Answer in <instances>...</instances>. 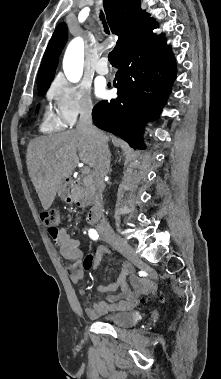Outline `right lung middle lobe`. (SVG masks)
<instances>
[{
  "instance_id": "obj_1",
  "label": "right lung middle lobe",
  "mask_w": 221,
  "mask_h": 379,
  "mask_svg": "<svg viewBox=\"0 0 221 379\" xmlns=\"http://www.w3.org/2000/svg\"><path fill=\"white\" fill-rule=\"evenodd\" d=\"M49 86L38 88V92L40 94H45Z\"/></svg>"
}]
</instances>
